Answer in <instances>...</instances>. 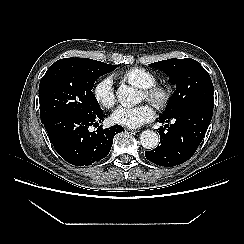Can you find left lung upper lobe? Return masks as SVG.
Returning <instances> with one entry per match:
<instances>
[{
    "label": "left lung upper lobe",
    "instance_id": "5c2ea615",
    "mask_svg": "<svg viewBox=\"0 0 244 244\" xmlns=\"http://www.w3.org/2000/svg\"><path fill=\"white\" fill-rule=\"evenodd\" d=\"M165 72L176 90L170 97L163 116L193 105H214L213 84L208 72L194 59H168L150 64Z\"/></svg>",
    "mask_w": 244,
    "mask_h": 244
}]
</instances>
